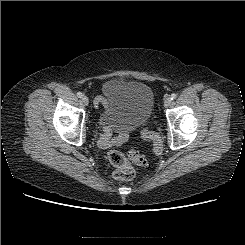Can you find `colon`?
<instances>
[{
  "instance_id": "colon-1",
  "label": "colon",
  "mask_w": 245,
  "mask_h": 245,
  "mask_svg": "<svg viewBox=\"0 0 245 245\" xmlns=\"http://www.w3.org/2000/svg\"><path fill=\"white\" fill-rule=\"evenodd\" d=\"M141 135L144 139L150 141L153 145V155H159L163 150L162 139L160 135L154 131L143 129ZM108 159L115 168L113 178L119 181L131 180L135 177L136 170L132 162L137 165H147L149 157L139 153L137 150H131L126 156L119 150H111L108 153Z\"/></svg>"
}]
</instances>
